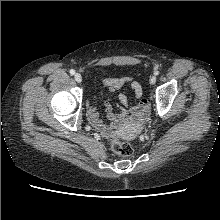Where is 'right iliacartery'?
Masks as SVG:
<instances>
[{
  "mask_svg": "<svg viewBox=\"0 0 220 220\" xmlns=\"http://www.w3.org/2000/svg\"><path fill=\"white\" fill-rule=\"evenodd\" d=\"M69 72H70L71 75L75 74V70H73V69H71Z\"/></svg>",
  "mask_w": 220,
  "mask_h": 220,
  "instance_id": "right-iliac-artery-1",
  "label": "right iliac artery"
}]
</instances>
